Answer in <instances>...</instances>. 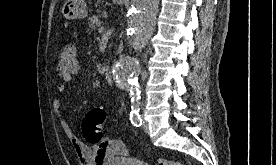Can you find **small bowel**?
Wrapping results in <instances>:
<instances>
[{"mask_svg": "<svg viewBox=\"0 0 276 165\" xmlns=\"http://www.w3.org/2000/svg\"><path fill=\"white\" fill-rule=\"evenodd\" d=\"M63 83H59L56 86L57 91L63 92L65 90V82L71 80V77H62ZM52 106L54 113L61 125V128L68 139L70 145L72 146L78 162L80 165H108L112 162L116 156L124 155L125 149L124 145L120 140H115L123 148V153H105L100 154L96 147H91L84 144L73 132L71 126L67 122L64 116V112L61 103L58 99H53Z\"/></svg>", "mask_w": 276, "mask_h": 165, "instance_id": "small-bowel-1", "label": "small bowel"}]
</instances>
